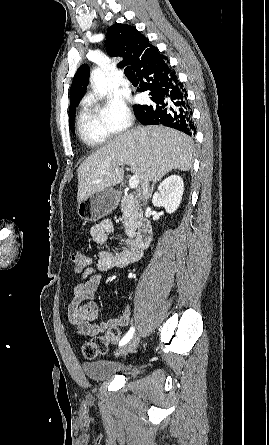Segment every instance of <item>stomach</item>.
I'll list each match as a JSON object with an SVG mask.
<instances>
[{
	"label": "stomach",
	"instance_id": "1",
	"mask_svg": "<svg viewBox=\"0 0 269 445\" xmlns=\"http://www.w3.org/2000/svg\"><path fill=\"white\" fill-rule=\"evenodd\" d=\"M120 201L118 191L107 188L78 203V216L85 221H97L116 209Z\"/></svg>",
	"mask_w": 269,
	"mask_h": 445
}]
</instances>
